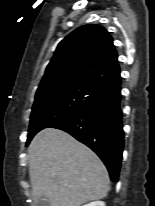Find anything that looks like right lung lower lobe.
<instances>
[{
    "instance_id": "right-lung-lower-lobe-1",
    "label": "right lung lower lobe",
    "mask_w": 155,
    "mask_h": 206,
    "mask_svg": "<svg viewBox=\"0 0 155 206\" xmlns=\"http://www.w3.org/2000/svg\"><path fill=\"white\" fill-rule=\"evenodd\" d=\"M121 84L104 92L96 101L75 115L55 124L91 148L117 182L124 148Z\"/></svg>"
}]
</instances>
